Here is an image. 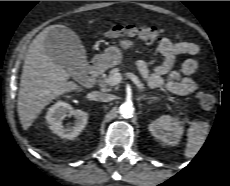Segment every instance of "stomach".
I'll return each mask as SVG.
<instances>
[{
  "label": "stomach",
  "instance_id": "1",
  "mask_svg": "<svg viewBox=\"0 0 230 186\" xmlns=\"http://www.w3.org/2000/svg\"><path fill=\"white\" fill-rule=\"evenodd\" d=\"M133 46L134 43L131 40L123 39L120 41V47L122 49H130ZM95 59L105 68H110L120 64L122 61V51L116 46H110L105 49L103 54L97 55Z\"/></svg>",
  "mask_w": 230,
  "mask_h": 186
}]
</instances>
